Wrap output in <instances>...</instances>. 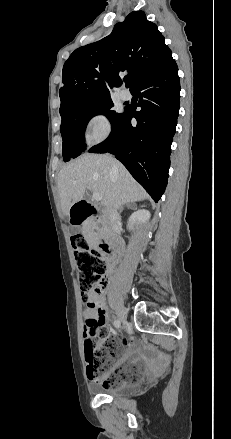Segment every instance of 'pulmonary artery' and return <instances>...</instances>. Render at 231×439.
Instances as JSON below:
<instances>
[{"mask_svg":"<svg viewBox=\"0 0 231 439\" xmlns=\"http://www.w3.org/2000/svg\"><path fill=\"white\" fill-rule=\"evenodd\" d=\"M119 95L122 100H129L131 98V94L127 89H122Z\"/></svg>","mask_w":231,"mask_h":439,"instance_id":"pulmonary-artery-1","label":"pulmonary artery"}]
</instances>
